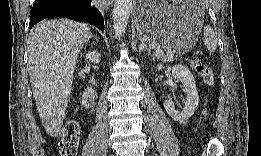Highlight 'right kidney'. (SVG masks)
Segmentation results:
<instances>
[{"label":"right kidney","instance_id":"obj_1","mask_svg":"<svg viewBox=\"0 0 261 156\" xmlns=\"http://www.w3.org/2000/svg\"><path fill=\"white\" fill-rule=\"evenodd\" d=\"M85 58L94 64H98L101 60V54L97 51H91L86 54Z\"/></svg>","mask_w":261,"mask_h":156}]
</instances>
